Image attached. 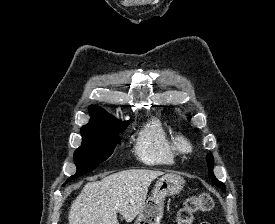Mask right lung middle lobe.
Masks as SVG:
<instances>
[{
	"label": "right lung middle lobe",
	"instance_id": "dd1d6c3e",
	"mask_svg": "<svg viewBox=\"0 0 275 224\" xmlns=\"http://www.w3.org/2000/svg\"><path fill=\"white\" fill-rule=\"evenodd\" d=\"M128 124L126 122L108 127L81 128L82 145L74 153L77 172L65 183L92 171L107 160L119 142L118 134L124 131Z\"/></svg>",
	"mask_w": 275,
	"mask_h": 224
}]
</instances>
